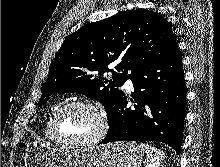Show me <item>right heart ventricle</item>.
I'll use <instances>...</instances> for the list:
<instances>
[{
    "label": "right heart ventricle",
    "mask_w": 220,
    "mask_h": 167,
    "mask_svg": "<svg viewBox=\"0 0 220 167\" xmlns=\"http://www.w3.org/2000/svg\"><path fill=\"white\" fill-rule=\"evenodd\" d=\"M51 117L50 116L46 122V126H45V130H44V134H45V137L51 141H54L53 138H52V135H51V132H50V120H51Z\"/></svg>",
    "instance_id": "e07e8e85"
}]
</instances>
